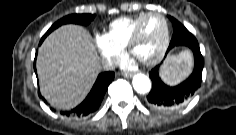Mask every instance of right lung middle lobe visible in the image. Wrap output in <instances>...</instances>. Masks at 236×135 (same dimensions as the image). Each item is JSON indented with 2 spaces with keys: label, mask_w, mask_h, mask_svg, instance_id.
<instances>
[{
  "label": "right lung middle lobe",
  "mask_w": 236,
  "mask_h": 135,
  "mask_svg": "<svg viewBox=\"0 0 236 135\" xmlns=\"http://www.w3.org/2000/svg\"><path fill=\"white\" fill-rule=\"evenodd\" d=\"M95 15L94 14H72L63 17L56 23H54L51 28L45 33L44 36H47L50 32H52L54 29L58 28L59 26L67 23H76L81 25H88L93 19Z\"/></svg>",
  "instance_id": "dd1d6c3e"
}]
</instances>
